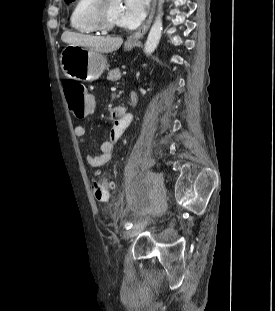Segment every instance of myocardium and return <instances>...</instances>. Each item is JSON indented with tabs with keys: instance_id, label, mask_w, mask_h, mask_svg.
I'll return each instance as SVG.
<instances>
[{
	"instance_id": "f54148a6",
	"label": "myocardium",
	"mask_w": 275,
	"mask_h": 311,
	"mask_svg": "<svg viewBox=\"0 0 275 311\" xmlns=\"http://www.w3.org/2000/svg\"><path fill=\"white\" fill-rule=\"evenodd\" d=\"M108 2L109 0H94L89 9L91 21L99 31L103 32L116 31L121 26L109 20L107 13Z\"/></svg>"
}]
</instances>
